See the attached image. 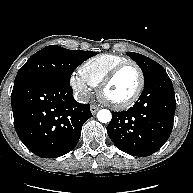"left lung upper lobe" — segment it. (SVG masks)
I'll list each match as a JSON object with an SVG mask.
<instances>
[{"label":"left lung upper lobe","mask_w":193,"mask_h":193,"mask_svg":"<svg viewBox=\"0 0 193 193\" xmlns=\"http://www.w3.org/2000/svg\"><path fill=\"white\" fill-rule=\"evenodd\" d=\"M131 57L142 69L144 75V84L152 80L157 74L164 72V68L154 60L138 53L128 52Z\"/></svg>","instance_id":"left-lung-upper-lobe-1"}]
</instances>
